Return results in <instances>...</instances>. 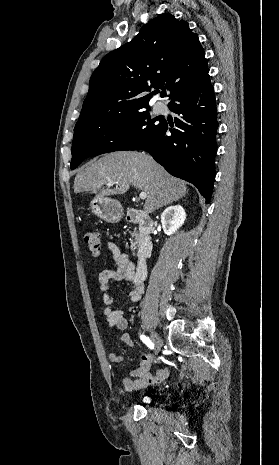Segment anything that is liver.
Wrapping results in <instances>:
<instances>
[{"instance_id": "6515ba94", "label": "liver", "mask_w": 279, "mask_h": 465, "mask_svg": "<svg viewBox=\"0 0 279 465\" xmlns=\"http://www.w3.org/2000/svg\"><path fill=\"white\" fill-rule=\"evenodd\" d=\"M110 181L115 188L105 187ZM131 185L147 194V214L179 200L188 191L183 181L172 177L146 153L117 151L85 164L74 179V192L89 191L98 198L124 194Z\"/></svg>"}]
</instances>
